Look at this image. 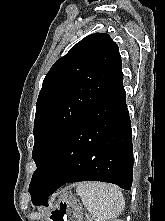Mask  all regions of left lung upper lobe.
Returning a JSON list of instances; mask_svg holds the SVG:
<instances>
[{
	"instance_id": "obj_1",
	"label": "left lung upper lobe",
	"mask_w": 165,
	"mask_h": 221,
	"mask_svg": "<svg viewBox=\"0 0 165 221\" xmlns=\"http://www.w3.org/2000/svg\"><path fill=\"white\" fill-rule=\"evenodd\" d=\"M121 71L119 48L106 33L86 36L53 64L36 103L32 198L64 138Z\"/></svg>"
}]
</instances>
